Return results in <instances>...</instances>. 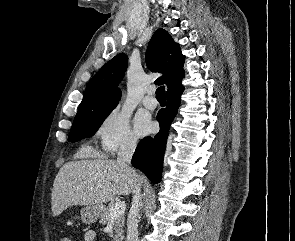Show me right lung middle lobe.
Returning a JSON list of instances; mask_svg holds the SVG:
<instances>
[{
	"label": "right lung middle lobe",
	"mask_w": 295,
	"mask_h": 241,
	"mask_svg": "<svg viewBox=\"0 0 295 241\" xmlns=\"http://www.w3.org/2000/svg\"><path fill=\"white\" fill-rule=\"evenodd\" d=\"M117 103L116 101L97 107L79 109L68 140L75 142L94 135L106 117L116 107Z\"/></svg>",
	"instance_id": "right-lung-middle-lobe-1"
}]
</instances>
